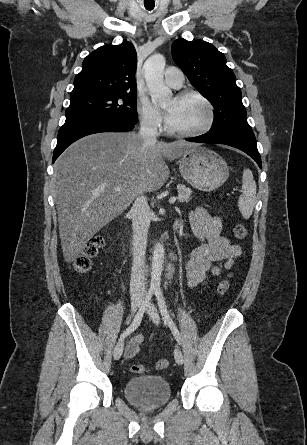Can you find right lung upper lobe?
Instances as JSON below:
<instances>
[{"mask_svg": "<svg viewBox=\"0 0 307 445\" xmlns=\"http://www.w3.org/2000/svg\"><path fill=\"white\" fill-rule=\"evenodd\" d=\"M136 67L137 55L132 43L102 46L84 59L71 97L136 93Z\"/></svg>", "mask_w": 307, "mask_h": 445, "instance_id": "obj_1", "label": "right lung upper lobe"}]
</instances>
